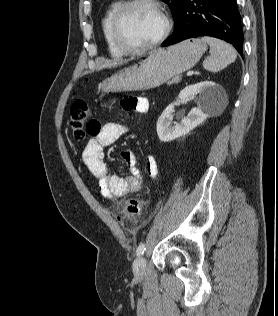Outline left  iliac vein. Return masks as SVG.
Returning <instances> with one entry per match:
<instances>
[{"label": "left iliac vein", "mask_w": 278, "mask_h": 316, "mask_svg": "<svg viewBox=\"0 0 278 316\" xmlns=\"http://www.w3.org/2000/svg\"><path fill=\"white\" fill-rule=\"evenodd\" d=\"M146 269V260L143 256L138 257L133 264V271L136 276H142Z\"/></svg>", "instance_id": "obj_1"}]
</instances>
